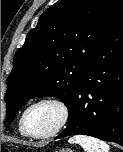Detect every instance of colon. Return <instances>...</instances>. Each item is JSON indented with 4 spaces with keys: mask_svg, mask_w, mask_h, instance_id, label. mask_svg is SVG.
Segmentation results:
<instances>
[{
    "mask_svg": "<svg viewBox=\"0 0 123 152\" xmlns=\"http://www.w3.org/2000/svg\"><path fill=\"white\" fill-rule=\"evenodd\" d=\"M1 152H11V151L7 148H1Z\"/></svg>",
    "mask_w": 123,
    "mask_h": 152,
    "instance_id": "colon-1",
    "label": "colon"
}]
</instances>
